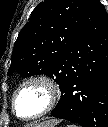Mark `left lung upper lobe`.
Returning a JSON list of instances; mask_svg holds the SVG:
<instances>
[{"mask_svg":"<svg viewBox=\"0 0 108 127\" xmlns=\"http://www.w3.org/2000/svg\"><path fill=\"white\" fill-rule=\"evenodd\" d=\"M89 0H46L33 10L15 42L8 75L45 74L60 85Z\"/></svg>","mask_w":108,"mask_h":127,"instance_id":"left-lung-upper-lobe-1","label":"left lung upper lobe"}]
</instances>
